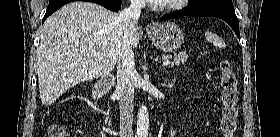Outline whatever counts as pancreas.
<instances>
[{
	"label": "pancreas",
	"mask_w": 280,
	"mask_h": 137,
	"mask_svg": "<svg viewBox=\"0 0 280 137\" xmlns=\"http://www.w3.org/2000/svg\"><path fill=\"white\" fill-rule=\"evenodd\" d=\"M172 57H173V62L171 64V66L179 65L180 63L185 62L187 60V55L184 52H181L179 54H174L173 56H171V55H164L163 56V58L166 59V60L170 59Z\"/></svg>",
	"instance_id": "1"
}]
</instances>
